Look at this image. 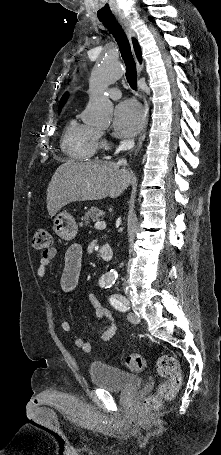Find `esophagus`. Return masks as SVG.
<instances>
[{
	"label": "esophagus",
	"instance_id": "obj_1",
	"mask_svg": "<svg viewBox=\"0 0 221 455\" xmlns=\"http://www.w3.org/2000/svg\"><path fill=\"white\" fill-rule=\"evenodd\" d=\"M116 19L119 22V24L122 26V28L124 29L125 33L127 34V36L129 38L135 37V32H134L133 28L131 27V24H130L129 20L124 15H117ZM142 71H143V64H139L138 63V73H139V75H141ZM139 91H140L141 98H142V101H143V104H144V108H145V123H144L143 131H142V133L140 135V138H139L138 148L141 146L142 142L144 141V138H145V135H146V130H147V125H148V120H149L148 102H147L146 97L144 96V94H143V92L141 90V87H139Z\"/></svg>",
	"mask_w": 221,
	"mask_h": 455
}]
</instances>
